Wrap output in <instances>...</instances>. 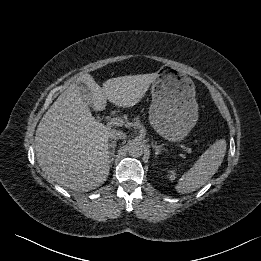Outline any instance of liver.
I'll return each mask as SVG.
<instances>
[{"instance_id": "obj_1", "label": "liver", "mask_w": 261, "mask_h": 261, "mask_svg": "<svg viewBox=\"0 0 261 261\" xmlns=\"http://www.w3.org/2000/svg\"><path fill=\"white\" fill-rule=\"evenodd\" d=\"M156 77L157 73L121 76L108 79L103 87L88 73L74 78L36 130V157L45 177L73 191L87 192L101 186L109 175L112 129L98 122L89 107L102 111L107 100L119 107H132ZM79 85L87 87L88 96L81 93Z\"/></svg>"}]
</instances>
